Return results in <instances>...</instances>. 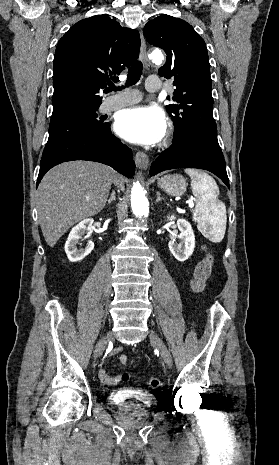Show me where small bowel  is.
<instances>
[{
	"instance_id": "1",
	"label": "small bowel",
	"mask_w": 279,
	"mask_h": 465,
	"mask_svg": "<svg viewBox=\"0 0 279 465\" xmlns=\"http://www.w3.org/2000/svg\"><path fill=\"white\" fill-rule=\"evenodd\" d=\"M111 355H118L119 357V361L123 364V365H126L127 362H128V357L123 354L122 352V347H117L115 348L112 352H111ZM99 378L100 380L105 383V384H108V385H115L117 383L120 382L121 380V377L116 375V376H112L110 375L105 369H101L99 371Z\"/></svg>"
}]
</instances>
